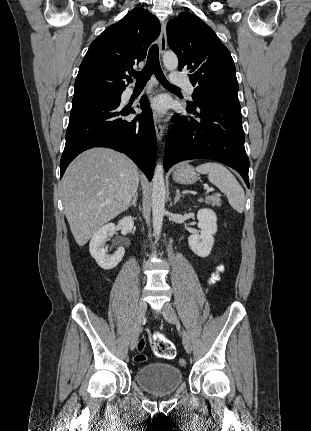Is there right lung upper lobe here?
I'll return each instance as SVG.
<instances>
[{
  "instance_id": "obj_1",
  "label": "right lung upper lobe",
  "mask_w": 311,
  "mask_h": 431,
  "mask_svg": "<svg viewBox=\"0 0 311 431\" xmlns=\"http://www.w3.org/2000/svg\"><path fill=\"white\" fill-rule=\"evenodd\" d=\"M160 24L148 10L135 8L90 45L75 80L74 95L123 92L127 73L146 57Z\"/></svg>"
}]
</instances>
